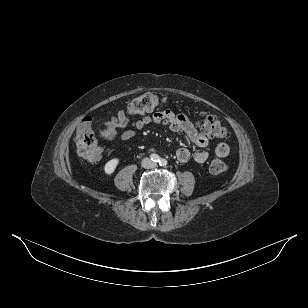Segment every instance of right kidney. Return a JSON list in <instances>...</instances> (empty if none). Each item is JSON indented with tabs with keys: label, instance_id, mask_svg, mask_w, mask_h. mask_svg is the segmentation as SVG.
I'll list each match as a JSON object with an SVG mask.
<instances>
[{
	"label": "right kidney",
	"instance_id": "1",
	"mask_svg": "<svg viewBox=\"0 0 308 308\" xmlns=\"http://www.w3.org/2000/svg\"><path fill=\"white\" fill-rule=\"evenodd\" d=\"M118 164H119V159H118V158H113V159H111L110 161H108V162L105 164V166H104V172H105L107 175H111V174L115 171V169H116V167H117Z\"/></svg>",
	"mask_w": 308,
	"mask_h": 308
}]
</instances>
